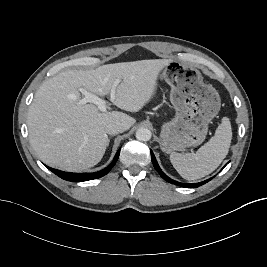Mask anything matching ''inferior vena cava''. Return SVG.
Instances as JSON below:
<instances>
[{
  "label": "inferior vena cava",
  "mask_w": 267,
  "mask_h": 267,
  "mask_svg": "<svg viewBox=\"0 0 267 267\" xmlns=\"http://www.w3.org/2000/svg\"><path fill=\"white\" fill-rule=\"evenodd\" d=\"M125 130L126 127L123 124H120L119 122H111L105 127L106 133L111 135L122 133Z\"/></svg>",
  "instance_id": "obj_1"
}]
</instances>
